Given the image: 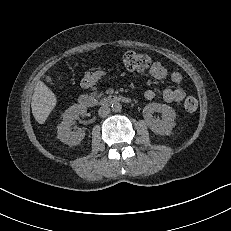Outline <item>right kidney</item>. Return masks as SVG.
<instances>
[{
	"instance_id": "1",
	"label": "right kidney",
	"mask_w": 231,
	"mask_h": 231,
	"mask_svg": "<svg viewBox=\"0 0 231 231\" xmlns=\"http://www.w3.org/2000/svg\"><path fill=\"white\" fill-rule=\"evenodd\" d=\"M87 108L84 105L75 104L69 107L63 114V121L58 126V138L68 145H78L85 137L84 130L76 132L71 130L73 121L79 116H85Z\"/></svg>"
}]
</instances>
